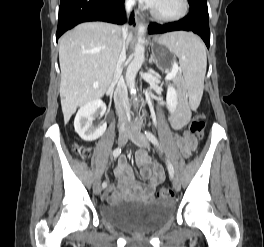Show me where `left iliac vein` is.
Here are the masks:
<instances>
[{
	"mask_svg": "<svg viewBox=\"0 0 264 247\" xmlns=\"http://www.w3.org/2000/svg\"><path fill=\"white\" fill-rule=\"evenodd\" d=\"M130 140L142 148H149V142L146 138V136L141 133L139 130H135L130 134ZM173 188L175 191H179L181 188L180 182L177 178H173Z\"/></svg>",
	"mask_w": 264,
	"mask_h": 247,
	"instance_id": "left-iliac-vein-1",
	"label": "left iliac vein"
}]
</instances>
